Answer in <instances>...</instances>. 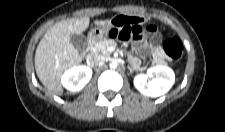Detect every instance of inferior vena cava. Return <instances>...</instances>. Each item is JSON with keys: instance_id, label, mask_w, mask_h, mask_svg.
I'll return each instance as SVG.
<instances>
[{"instance_id": "1", "label": "inferior vena cava", "mask_w": 225, "mask_h": 132, "mask_svg": "<svg viewBox=\"0 0 225 132\" xmlns=\"http://www.w3.org/2000/svg\"><path fill=\"white\" fill-rule=\"evenodd\" d=\"M105 61V58L100 55H93L87 59L88 65L94 67L99 66Z\"/></svg>"}]
</instances>
